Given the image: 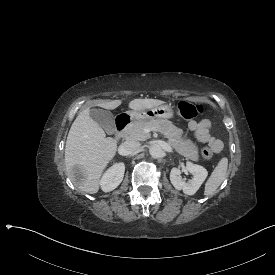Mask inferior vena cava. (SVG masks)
<instances>
[{
  "label": "inferior vena cava",
  "mask_w": 275,
  "mask_h": 275,
  "mask_svg": "<svg viewBox=\"0 0 275 275\" xmlns=\"http://www.w3.org/2000/svg\"><path fill=\"white\" fill-rule=\"evenodd\" d=\"M140 148V143L135 140H127L120 146L123 155L135 154Z\"/></svg>",
  "instance_id": "602c4592"
}]
</instances>
